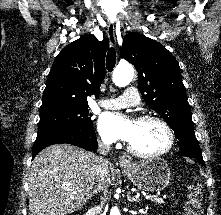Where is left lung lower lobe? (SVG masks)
Wrapping results in <instances>:
<instances>
[{
  "instance_id": "1",
  "label": "left lung lower lobe",
  "mask_w": 221,
  "mask_h": 215,
  "mask_svg": "<svg viewBox=\"0 0 221 215\" xmlns=\"http://www.w3.org/2000/svg\"><path fill=\"white\" fill-rule=\"evenodd\" d=\"M178 154L181 155V156L197 159V161L199 163L205 165L201 152L200 153H195V152H192V151L180 149Z\"/></svg>"
}]
</instances>
